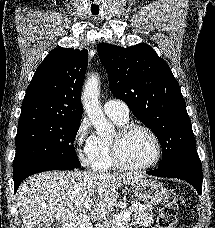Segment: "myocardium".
<instances>
[{
    "mask_svg": "<svg viewBox=\"0 0 215 228\" xmlns=\"http://www.w3.org/2000/svg\"><path fill=\"white\" fill-rule=\"evenodd\" d=\"M137 128L142 129L148 133L154 143L155 153L148 162L138 166H132L127 164L121 155V143L133 129ZM111 155L116 167L125 171H142L159 162L162 155V146L159 137L152 128L143 123L128 122L120 126L114 136L111 138Z\"/></svg>",
    "mask_w": 215,
    "mask_h": 228,
    "instance_id": "1",
    "label": "myocardium"
}]
</instances>
